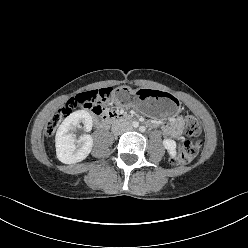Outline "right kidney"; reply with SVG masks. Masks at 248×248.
<instances>
[{
    "label": "right kidney",
    "instance_id": "ca27d5eb",
    "mask_svg": "<svg viewBox=\"0 0 248 248\" xmlns=\"http://www.w3.org/2000/svg\"><path fill=\"white\" fill-rule=\"evenodd\" d=\"M80 122H83L86 131L92 129L91 115L85 110H78L66 117L57 130L56 154L64 164L81 162L92 150L93 138L91 135L85 134L79 140L75 139L73 131Z\"/></svg>",
    "mask_w": 248,
    "mask_h": 248
}]
</instances>
